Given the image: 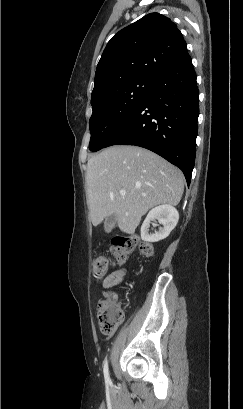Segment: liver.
Listing matches in <instances>:
<instances>
[{
    "label": "liver",
    "instance_id": "6515ba94",
    "mask_svg": "<svg viewBox=\"0 0 243 409\" xmlns=\"http://www.w3.org/2000/svg\"><path fill=\"white\" fill-rule=\"evenodd\" d=\"M89 217L98 226L115 215L119 229L134 234L143 215L157 205L176 206L184 191L180 169L136 146L115 145L92 156L86 172ZM126 192L125 196L120 191Z\"/></svg>",
    "mask_w": 243,
    "mask_h": 409
}]
</instances>
